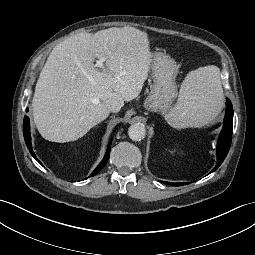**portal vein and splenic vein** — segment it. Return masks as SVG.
<instances>
[{"instance_id": "obj_1", "label": "portal vein and splenic vein", "mask_w": 255, "mask_h": 255, "mask_svg": "<svg viewBox=\"0 0 255 255\" xmlns=\"http://www.w3.org/2000/svg\"><path fill=\"white\" fill-rule=\"evenodd\" d=\"M105 61V58H101L100 60L96 61V66L99 68L104 69L103 62Z\"/></svg>"}]
</instances>
